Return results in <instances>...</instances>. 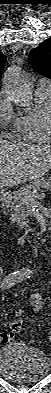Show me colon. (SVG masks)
I'll return each mask as SVG.
<instances>
[{
  "mask_svg": "<svg viewBox=\"0 0 51 393\" xmlns=\"http://www.w3.org/2000/svg\"><path fill=\"white\" fill-rule=\"evenodd\" d=\"M9 326L12 332H17L22 327V320L19 318L12 319ZM48 341H50V339H48Z\"/></svg>",
  "mask_w": 51,
  "mask_h": 393,
  "instance_id": "5ec220e1",
  "label": "colon"
}]
</instances>
